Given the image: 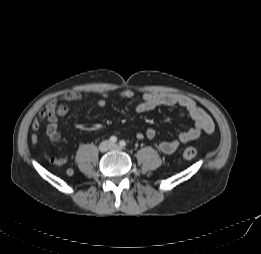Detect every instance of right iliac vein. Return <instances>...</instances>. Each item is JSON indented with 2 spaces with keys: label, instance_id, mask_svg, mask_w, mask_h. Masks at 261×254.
<instances>
[{
  "label": "right iliac vein",
  "instance_id": "right-iliac-vein-1",
  "mask_svg": "<svg viewBox=\"0 0 261 254\" xmlns=\"http://www.w3.org/2000/svg\"><path fill=\"white\" fill-rule=\"evenodd\" d=\"M99 149L101 152H106L108 151L109 149H111V144L109 141H103L100 146H99Z\"/></svg>",
  "mask_w": 261,
  "mask_h": 254
}]
</instances>
